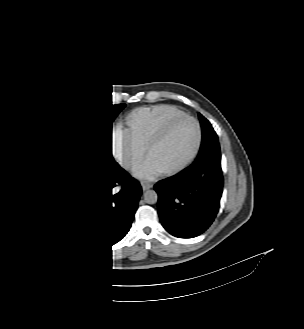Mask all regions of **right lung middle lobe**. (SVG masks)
<instances>
[{
  "label": "right lung middle lobe",
  "mask_w": 304,
  "mask_h": 329,
  "mask_svg": "<svg viewBox=\"0 0 304 329\" xmlns=\"http://www.w3.org/2000/svg\"><path fill=\"white\" fill-rule=\"evenodd\" d=\"M125 106L96 103L69 123L58 148L60 178L78 169H109L117 165L109 139L112 123Z\"/></svg>",
  "instance_id": "1"
}]
</instances>
